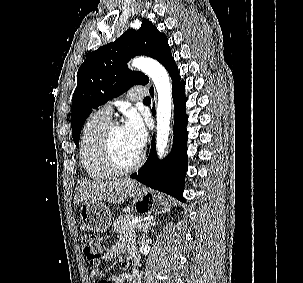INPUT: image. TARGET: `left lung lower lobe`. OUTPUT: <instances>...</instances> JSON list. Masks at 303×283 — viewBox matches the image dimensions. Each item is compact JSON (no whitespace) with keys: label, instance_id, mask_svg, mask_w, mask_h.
<instances>
[{"label":"left lung lower lobe","instance_id":"obj_1","mask_svg":"<svg viewBox=\"0 0 303 283\" xmlns=\"http://www.w3.org/2000/svg\"><path fill=\"white\" fill-rule=\"evenodd\" d=\"M172 83V96L175 107L174 139L172 151L166 159L158 160L155 138H152L151 151L145 164L138 173L130 177L172 197L185 202L183 198L184 181L187 172V115L185 113V84L178 79V70L174 60L166 67ZM150 93L154 91L151 88ZM153 115L154 108H153Z\"/></svg>","mask_w":303,"mask_h":283}]
</instances>
